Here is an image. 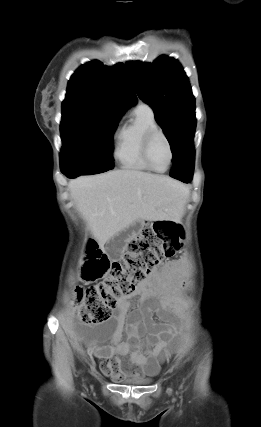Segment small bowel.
<instances>
[{
	"instance_id": "1",
	"label": "small bowel",
	"mask_w": 261,
	"mask_h": 427,
	"mask_svg": "<svg viewBox=\"0 0 261 427\" xmlns=\"http://www.w3.org/2000/svg\"><path fill=\"white\" fill-rule=\"evenodd\" d=\"M179 265V262L172 261L163 267L154 268L131 295L117 301L116 312L107 326L97 331L86 327L77 328L76 335L86 345L88 352L102 359L100 366L104 373L116 379L139 377L138 370L123 365L121 357L129 356L131 365L139 367L144 374L155 375L160 369V363L180 348L181 341L176 329L154 320L152 313L156 309V302L148 293L149 287L165 283ZM138 296L141 297L139 305L127 315L132 307V299ZM124 333L126 340H123ZM108 335L110 343L99 345V340Z\"/></svg>"
}]
</instances>
